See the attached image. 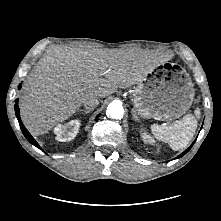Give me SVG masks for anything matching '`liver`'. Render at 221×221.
I'll list each match as a JSON object with an SVG mask.
<instances>
[{
  "label": "liver",
  "instance_id": "obj_1",
  "mask_svg": "<svg viewBox=\"0 0 221 221\" xmlns=\"http://www.w3.org/2000/svg\"><path fill=\"white\" fill-rule=\"evenodd\" d=\"M163 61L148 51L53 50L35 66L23 86V122L32 134H45L76 113L86 95L105 98L118 88L130 87Z\"/></svg>",
  "mask_w": 221,
  "mask_h": 221
}]
</instances>
